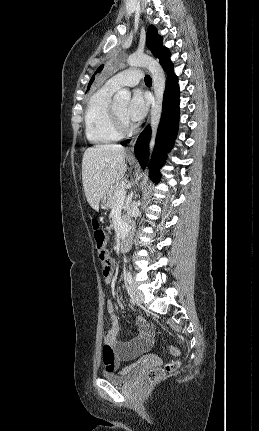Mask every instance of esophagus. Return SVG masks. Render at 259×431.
Wrapping results in <instances>:
<instances>
[{"label":"esophagus","mask_w":259,"mask_h":431,"mask_svg":"<svg viewBox=\"0 0 259 431\" xmlns=\"http://www.w3.org/2000/svg\"><path fill=\"white\" fill-rule=\"evenodd\" d=\"M136 140H137V137L132 138L127 146V154L130 158H134V146H135Z\"/></svg>","instance_id":"1"}]
</instances>
